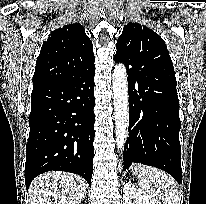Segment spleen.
Here are the masks:
<instances>
[{
	"instance_id": "obj_1",
	"label": "spleen",
	"mask_w": 206,
	"mask_h": 204,
	"mask_svg": "<svg viewBox=\"0 0 206 204\" xmlns=\"http://www.w3.org/2000/svg\"><path fill=\"white\" fill-rule=\"evenodd\" d=\"M139 185L156 204H177L179 193L175 179L160 169L143 166Z\"/></svg>"
}]
</instances>
